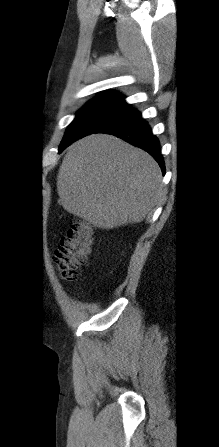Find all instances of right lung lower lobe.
Here are the masks:
<instances>
[{
	"instance_id": "98d812e1",
	"label": "right lung lower lobe",
	"mask_w": 219,
	"mask_h": 447,
	"mask_svg": "<svg viewBox=\"0 0 219 447\" xmlns=\"http://www.w3.org/2000/svg\"><path fill=\"white\" fill-rule=\"evenodd\" d=\"M95 133L112 134L136 147L142 148L158 162L163 174H165V166L160 152L159 141L157 137L152 134L151 128L142 118L139 111L134 110L129 114L106 124Z\"/></svg>"
}]
</instances>
